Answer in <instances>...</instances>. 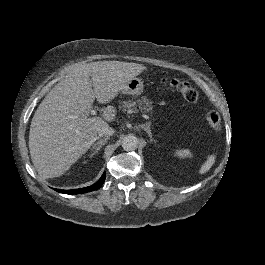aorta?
Segmentation results:
<instances>
[{"instance_id":"aorta-1","label":"aorta","mask_w":265,"mask_h":265,"mask_svg":"<svg viewBox=\"0 0 265 265\" xmlns=\"http://www.w3.org/2000/svg\"><path fill=\"white\" fill-rule=\"evenodd\" d=\"M138 146V139L134 134H127L122 141L124 150H135Z\"/></svg>"}]
</instances>
